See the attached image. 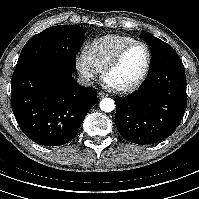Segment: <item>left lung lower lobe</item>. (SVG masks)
I'll return each mask as SVG.
<instances>
[{
	"instance_id": "left-lung-lower-lobe-1",
	"label": "left lung lower lobe",
	"mask_w": 199,
	"mask_h": 199,
	"mask_svg": "<svg viewBox=\"0 0 199 199\" xmlns=\"http://www.w3.org/2000/svg\"><path fill=\"white\" fill-rule=\"evenodd\" d=\"M115 103V124L129 142L151 144L173 134L187 107L186 76L180 58L150 70L137 91L117 97Z\"/></svg>"
}]
</instances>
